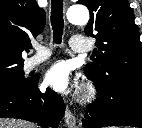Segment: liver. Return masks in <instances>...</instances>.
Segmentation results:
<instances>
[{
	"label": "liver",
	"instance_id": "liver-1",
	"mask_svg": "<svg viewBox=\"0 0 142 128\" xmlns=\"http://www.w3.org/2000/svg\"><path fill=\"white\" fill-rule=\"evenodd\" d=\"M0 128H37V125L21 119H0Z\"/></svg>",
	"mask_w": 142,
	"mask_h": 128
}]
</instances>
